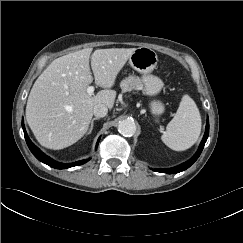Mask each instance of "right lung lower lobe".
<instances>
[{"label": "right lung lower lobe", "mask_w": 243, "mask_h": 243, "mask_svg": "<svg viewBox=\"0 0 243 243\" xmlns=\"http://www.w3.org/2000/svg\"><path fill=\"white\" fill-rule=\"evenodd\" d=\"M22 127H23V130H24V136H25V140H26V143L30 149V151L33 153V155L41 162L53 167V168H56V169H66V168H70V167H73V166H77V165H82L84 163H86L88 161L87 160H81V161H78V162H75V163H68V164H63V163H59V162H56L54 160H52L51 158H49L48 156H46L43 152H41L33 143L32 141L30 140V138L28 137L26 131H25V127H24V124L22 122ZM98 143H99V140L97 142V145L96 147L98 146Z\"/></svg>", "instance_id": "1"}]
</instances>
